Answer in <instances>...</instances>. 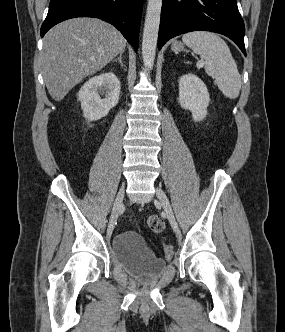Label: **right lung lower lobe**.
<instances>
[{
	"label": "right lung lower lobe",
	"mask_w": 285,
	"mask_h": 332,
	"mask_svg": "<svg viewBox=\"0 0 285 332\" xmlns=\"http://www.w3.org/2000/svg\"><path fill=\"white\" fill-rule=\"evenodd\" d=\"M143 0H51L41 37L54 25L74 17H94L114 25L138 49Z\"/></svg>",
	"instance_id": "1"
}]
</instances>
